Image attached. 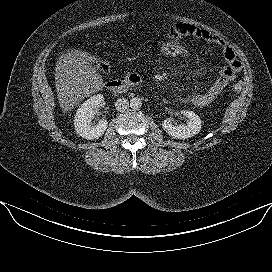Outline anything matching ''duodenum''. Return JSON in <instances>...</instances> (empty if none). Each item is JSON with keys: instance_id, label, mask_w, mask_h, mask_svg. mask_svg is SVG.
I'll list each match as a JSON object with an SVG mask.
<instances>
[{"instance_id": "1", "label": "duodenum", "mask_w": 272, "mask_h": 272, "mask_svg": "<svg viewBox=\"0 0 272 272\" xmlns=\"http://www.w3.org/2000/svg\"><path fill=\"white\" fill-rule=\"evenodd\" d=\"M140 84V77L137 74L127 75L122 80H111L107 83V88L115 93H124L129 88L138 86Z\"/></svg>"}]
</instances>
